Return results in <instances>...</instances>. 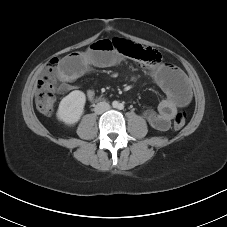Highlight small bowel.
Instances as JSON below:
<instances>
[{"mask_svg":"<svg viewBox=\"0 0 227 227\" xmlns=\"http://www.w3.org/2000/svg\"><path fill=\"white\" fill-rule=\"evenodd\" d=\"M123 54L115 49L108 39L94 42L83 52L72 53L61 60L57 70L59 93H66L76 88L74 82L91 67H111L119 64ZM151 77L162 89L165 98L156 110L143 113L148 124L159 131L169 128L170 122L178 108L187 106L191 101V91L184 73L170 64H160L150 72ZM94 92L89 90L87 98L92 99Z\"/></svg>","mask_w":227,"mask_h":227,"instance_id":"obj_1","label":"small bowel"}]
</instances>
